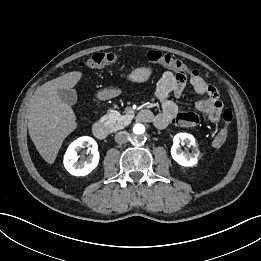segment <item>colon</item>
I'll return each mask as SVG.
<instances>
[{
	"label": "colon",
	"mask_w": 261,
	"mask_h": 261,
	"mask_svg": "<svg viewBox=\"0 0 261 261\" xmlns=\"http://www.w3.org/2000/svg\"><path fill=\"white\" fill-rule=\"evenodd\" d=\"M144 58L155 64H161L167 68L173 69L178 73L185 75L194 76L197 75V71L191 70L188 66L181 61L169 54H164L160 51L151 50L144 54ZM120 59V55L114 52H97L89 56L81 65L87 69H96L105 65L113 64ZM224 126L215 135L212 141V145L215 148H221L226 140L229 133V126L233 119L232 112L225 110L222 115Z\"/></svg>",
	"instance_id": "colon-1"
}]
</instances>
